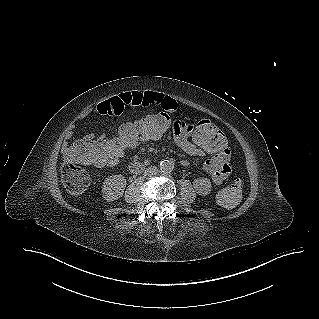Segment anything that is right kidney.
Here are the masks:
<instances>
[{
	"mask_svg": "<svg viewBox=\"0 0 319 319\" xmlns=\"http://www.w3.org/2000/svg\"><path fill=\"white\" fill-rule=\"evenodd\" d=\"M126 184V179L122 175H111L106 178L102 187L103 198L107 202L119 199L123 196Z\"/></svg>",
	"mask_w": 319,
	"mask_h": 319,
	"instance_id": "obj_1",
	"label": "right kidney"
}]
</instances>
